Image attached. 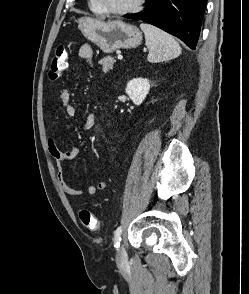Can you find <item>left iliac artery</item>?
I'll use <instances>...</instances> for the list:
<instances>
[{"mask_svg": "<svg viewBox=\"0 0 249 294\" xmlns=\"http://www.w3.org/2000/svg\"><path fill=\"white\" fill-rule=\"evenodd\" d=\"M121 234H122V227H118L114 233V247L116 249L119 248L121 242Z\"/></svg>", "mask_w": 249, "mask_h": 294, "instance_id": "obj_1", "label": "left iliac artery"}]
</instances>
